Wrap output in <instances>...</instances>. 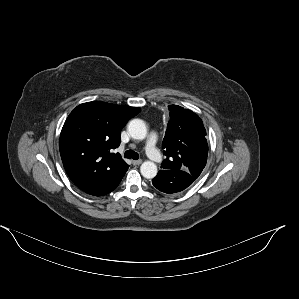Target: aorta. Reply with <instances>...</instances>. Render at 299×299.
<instances>
[{
    "mask_svg": "<svg viewBox=\"0 0 299 299\" xmlns=\"http://www.w3.org/2000/svg\"><path fill=\"white\" fill-rule=\"evenodd\" d=\"M129 135L136 140H143L147 134V128L143 120L133 119L128 124ZM140 172L143 177L152 179L157 175V166L152 161H145L140 167Z\"/></svg>",
    "mask_w": 299,
    "mask_h": 299,
    "instance_id": "aorta-1",
    "label": "aorta"
}]
</instances>
